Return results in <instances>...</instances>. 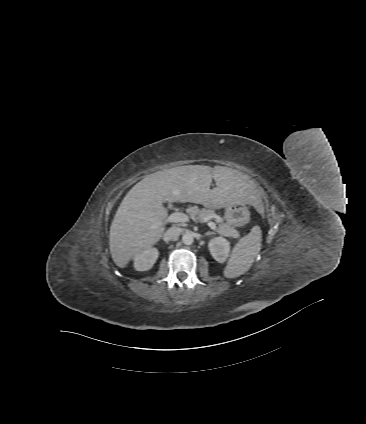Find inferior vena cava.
Instances as JSON below:
<instances>
[{
	"label": "inferior vena cava",
	"mask_w": 366,
	"mask_h": 424,
	"mask_svg": "<svg viewBox=\"0 0 366 424\" xmlns=\"http://www.w3.org/2000/svg\"><path fill=\"white\" fill-rule=\"evenodd\" d=\"M181 233H182V229L181 228H179V227H171V228H169L165 232V234L163 236V240L165 242L172 241V240L178 238Z\"/></svg>",
	"instance_id": "1"
}]
</instances>
